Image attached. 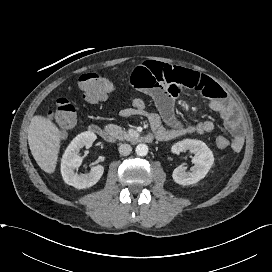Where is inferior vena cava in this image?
I'll return each mask as SVG.
<instances>
[{
	"label": "inferior vena cava",
	"instance_id": "602c4592",
	"mask_svg": "<svg viewBox=\"0 0 272 272\" xmlns=\"http://www.w3.org/2000/svg\"><path fill=\"white\" fill-rule=\"evenodd\" d=\"M118 151L121 155L127 156L131 153L132 147L129 144H121L118 148Z\"/></svg>",
	"mask_w": 272,
	"mask_h": 272
}]
</instances>
